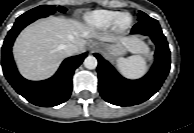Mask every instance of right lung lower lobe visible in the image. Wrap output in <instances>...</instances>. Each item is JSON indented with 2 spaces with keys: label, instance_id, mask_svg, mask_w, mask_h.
<instances>
[{
  "label": "right lung lower lobe",
  "instance_id": "obj_1",
  "mask_svg": "<svg viewBox=\"0 0 194 133\" xmlns=\"http://www.w3.org/2000/svg\"><path fill=\"white\" fill-rule=\"evenodd\" d=\"M36 19L38 18H17L2 46V68L6 79L17 93L34 105L52 107L65 102L70 97L74 70L83 62L87 54L84 53L64 60L57 73L50 79L44 81L24 79L15 66L12 45L20 31Z\"/></svg>",
  "mask_w": 194,
  "mask_h": 133
}]
</instances>
